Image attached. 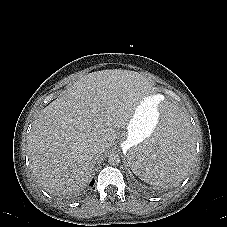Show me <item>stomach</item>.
Masks as SVG:
<instances>
[{
    "mask_svg": "<svg viewBox=\"0 0 227 227\" xmlns=\"http://www.w3.org/2000/svg\"><path fill=\"white\" fill-rule=\"evenodd\" d=\"M161 95H145L137 104L127 126L123 148L125 155L138 147L155 133V125L160 117L162 101L157 98Z\"/></svg>",
    "mask_w": 227,
    "mask_h": 227,
    "instance_id": "obj_1",
    "label": "stomach"
}]
</instances>
